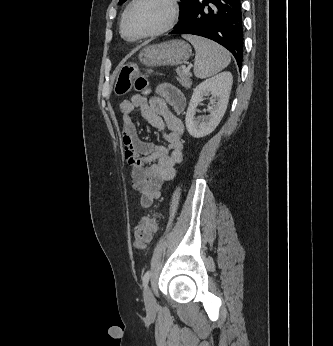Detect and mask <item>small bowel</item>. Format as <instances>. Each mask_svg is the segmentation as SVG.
Returning a JSON list of instances; mask_svg holds the SVG:
<instances>
[{
	"instance_id": "small-bowel-1",
	"label": "small bowel",
	"mask_w": 333,
	"mask_h": 346,
	"mask_svg": "<svg viewBox=\"0 0 333 346\" xmlns=\"http://www.w3.org/2000/svg\"><path fill=\"white\" fill-rule=\"evenodd\" d=\"M185 107V96L169 83L158 85L155 95L150 99L142 94H134L120 103L125 155L131 166V183L140 196L142 208L150 207L160 197L164 182L174 177L175 166L182 160L184 125L177 114L182 113ZM136 109L140 110L153 127L162 132L167 146L141 139L133 119Z\"/></svg>"
}]
</instances>
